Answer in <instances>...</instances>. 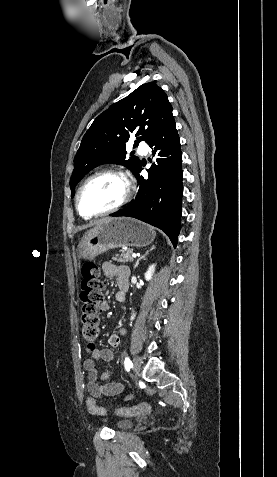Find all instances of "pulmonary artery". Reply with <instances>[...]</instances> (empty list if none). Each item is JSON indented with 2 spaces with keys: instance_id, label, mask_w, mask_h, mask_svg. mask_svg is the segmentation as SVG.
Wrapping results in <instances>:
<instances>
[{
  "instance_id": "e3ab8cb5",
  "label": "pulmonary artery",
  "mask_w": 277,
  "mask_h": 477,
  "mask_svg": "<svg viewBox=\"0 0 277 477\" xmlns=\"http://www.w3.org/2000/svg\"><path fill=\"white\" fill-rule=\"evenodd\" d=\"M149 151V147L145 142H141L138 146V152L142 155H146Z\"/></svg>"
}]
</instances>
